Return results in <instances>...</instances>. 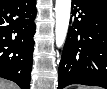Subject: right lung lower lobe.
Masks as SVG:
<instances>
[{"label":"right lung lower lobe","mask_w":107,"mask_h":89,"mask_svg":"<svg viewBox=\"0 0 107 89\" xmlns=\"http://www.w3.org/2000/svg\"><path fill=\"white\" fill-rule=\"evenodd\" d=\"M35 3V0H0V77L14 81L22 89L30 87Z\"/></svg>","instance_id":"obj_1"}]
</instances>
